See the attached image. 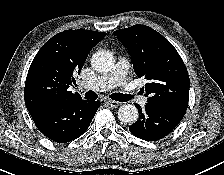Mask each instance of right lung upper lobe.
<instances>
[{
  "mask_svg": "<svg viewBox=\"0 0 224 175\" xmlns=\"http://www.w3.org/2000/svg\"><path fill=\"white\" fill-rule=\"evenodd\" d=\"M106 33L90 30H66L49 39L32 61L24 88L26 108L64 100L79 99L69 91L75 83L74 73L80 72L91 49Z\"/></svg>",
  "mask_w": 224,
  "mask_h": 175,
  "instance_id": "1",
  "label": "right lung upper lobe"
}]
</instances>
